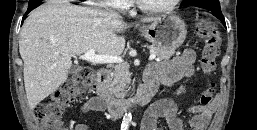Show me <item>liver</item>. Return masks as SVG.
Listing matches in <instances>:
<instances>
[{"mask_svg": "<svg viewBox=\"0 0 257 130\" xmlns=\"http://www.w3.org/2000/svg\"><path fill=\"white\" fill-rule=\"evenodd\" d=\"M157 18H145L153 22ZM129 26L108 13L49 0L32 11L20 32L24 84L30 109L55 92L68 78L71 57L94 50L119 56L125 39L117 34Z\"/></svg>", "mask_w": 257, "mask_h": 130, "instance_id": "obj_1", "label": "liver"}]
</instances>
